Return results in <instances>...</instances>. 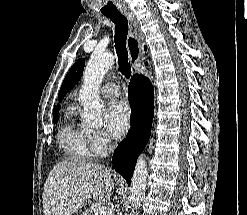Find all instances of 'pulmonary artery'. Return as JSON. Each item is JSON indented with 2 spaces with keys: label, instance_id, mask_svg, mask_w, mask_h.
Returning <instances> with one entry per match:
<instances>
[{
  "label": "pulmonary artery",
  "instance_id": "obj_1",
  "mask_svg": "<svg viewBox=\"0 0 247 215\" xmlns=\"http://www.w3.org/2000/svg\"><path fill=\"white\" fill-rule=\"evenodd\" d=\"M103 96L108 98H114L120 95V87L116 83H106L101 88Z\"/></svg>",
  "mask_w": 247,
  "mask_h": 215
}]
</instances>
